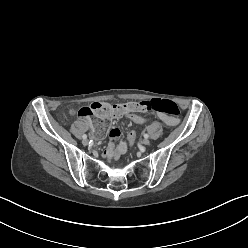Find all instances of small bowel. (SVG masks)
<instances>
[{"mask_svg": "<svg viewBox=\"0 0 248 248\" xmlns=\"http://www.w3.org/2000/svg\"><path fill=\"white\" fill-rule=\"evenodd\" d=\"M128 112L134 113V111L127 110L124 111L121 115L113 118H121V117L127 118ZM70 114L76 115L77 112L76 110L72 109L70 110ZM158 118L169 126H174L178 123V119L174 117H170L164 113H158ZM126 150H127V144L124 140H122L120 129L117 127H112L110 130L109 144L104 153L105 157L108 159V161L118 160L123 154H125Z\"/></svg>", "mask_w": 248, "mask_h": 248, "instance_id": "c3829d8e", "label": "small bowel"}]
</instances>
